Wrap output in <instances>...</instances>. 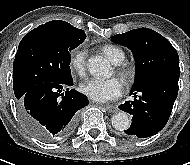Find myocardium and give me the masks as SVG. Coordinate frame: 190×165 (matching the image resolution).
<instances>
[{"instance_id":"obj_1","label":"myocardium","mask_w":190,"mask_h":165,"mask_svg":"<svg viewBox=\"0 0 190 165\" xmlns=\"http://www.w3.org/2000/svg\"><path fill=\"white\" fill-rule=\"evenodd\" d=\"M116 72L126 84H131L135 80L136 70L135 67L130 64H118Z\"/></svg>"}]
</instances>
